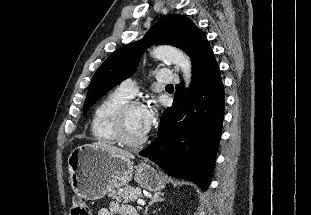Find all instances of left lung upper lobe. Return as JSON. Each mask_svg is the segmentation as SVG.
<instances>
[{
    "mask_svg": "<svg viewBox=\"0 0 311 215\" xmlns=\"http://www.w3.org/2000/svg\"><path fill=\"white\" fill-rule=\"evenodd\" d=\"M202 36H205L204 32L185 15H169L160 19L143 39L119 48L99 67L87 93L84 113L105 93L132 75L147 47L168 44L188 54Z\"/></svg>",
    "mask_w": 311,
    "mask_h": 215,
    "instance_id": "1",
    "label": "left lung upper lobe"
}]
</instances>
